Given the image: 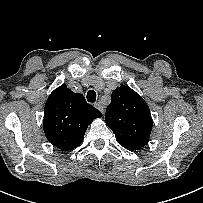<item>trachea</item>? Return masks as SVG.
Listing matches in <instances>:
<instances>
[{
	"label": "trachea",
	"mask_w": 203,
	"mask_h": 203,
	"mask_svg": "<svg viewBox=\"0 0 203 203\" xmlns=\"http://www.w3.org/2000/svg\"><path fill=\"white\" fill-rule=\"evenodd\" d=\"M87 101L90 103H94L96 101V92L94 90H89L87 92Z\"/></svg>",
	"instance_id": "obj_1"
}]
</instances>
